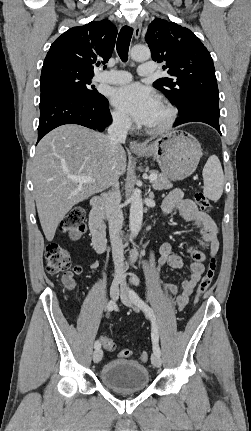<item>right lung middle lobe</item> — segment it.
I'll use <instances>...</instances> for the list:
<instances>
[{"instance_id": "obj_1", "label": "right lung middle lobe", "mask_w": 251, "mask_h": 431, "mask_svg": "<svg viewBox=\"0 0 251 431\" xmlns=\"http://www.w3.org/2000/svg\"><path fill=\"white\" fill-rule=\"evenodd\" d=\"M93 73L69 63H53L42 68L40 78L41 93L48 90H65L85 98L101 99L103 95L98 93L94 85H91Z\"/></svg>"}]
</instances>
